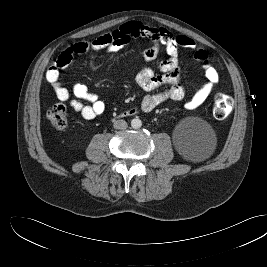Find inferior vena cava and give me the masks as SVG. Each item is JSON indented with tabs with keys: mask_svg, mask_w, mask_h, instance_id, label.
<instances>
[{
	"mask_svg": "<svg viewBox=\"0 0 267 267\" xmlns=\"http://www.w3.org/2000/svg\"><path fill=\"white\" fill-rule=\"evenodd\" d=\"M115 129H126L128 127L127 122L125 120H116L113 124Z\"/></svg>",
	"mask_w": 267,
	"mask_h": 267,
	"instance_id": "1",
	"label": "inferior vena cava"
}]
</instances>
